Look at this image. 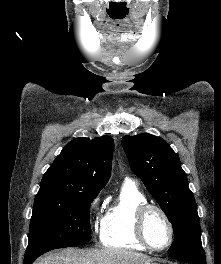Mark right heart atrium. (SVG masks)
Returning a JSON list of instances; mask_svg holds the SVG:
<instances>
[{
    "label": "right heart atrium",
    "instance_id": "right-heart-atrium-1",
    "mask_svg": "<svg viewBox=\"0 0 221 264\" xmlns=\"http://www.w3.org/2000/svg\"><path fill=\"white\" fill-rule=\"evenodd\" d=\"M101 202L99 196L91 199L88 205V213H89V224L94 231H97L101 228L102 217H101Z\"/></svg>",
    "mask_w": 221,
    "mask_h": 264
}]
</instances>
